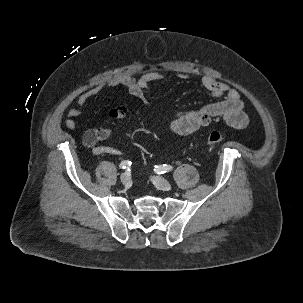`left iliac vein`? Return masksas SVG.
<instances>
[{
	"label": "left iliac vein",
	"mask_w": 303,
	"mask_h": 303,
	"mask_svg": "<svg viewBox=\"0 0 303 303\" xmlns=\"http://www.w3.org/2000/svg\"><path fill=\"white\" fill-rule=\"evenodd\" d=\"M153 184L160 190L169 191L172 188L171 183L162 177H152Z\"/></svg>",
	"instance_id": "obj_1"
}]
</instances>
